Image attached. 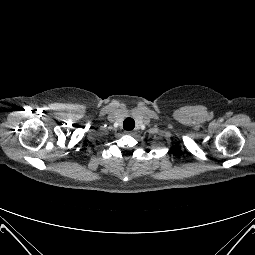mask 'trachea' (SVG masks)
I'll use <instances>...</instances> for the list:
<instances>
[{
	"label": "trachea",
	"mask_w": 255,
	"mask_h": 255,
	"mask_svg": "<svg viewBox=\"0 0 255 255\" xmlns=\"http://www.w3.org/2000/svg\"><path fill=\"white\" fill-rule=\"evenodd\" d=\"M135 127V121L131 117H128L123 122V128L125 130H132Z\"/></svg>",
	"instance_id": "trachea-1"
}]
</instances>
